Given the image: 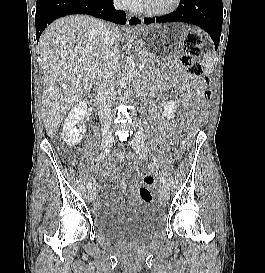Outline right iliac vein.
<instances>
[{"label":"right iliac vein","instance_id":"1","mask_svg":"<svg viewBox=\"0 0 265 273\" xmlns=\"http://www.w3.org/2000/svg\"><path fill=\"white\" fill-rule=\"evenodd\" d=\"M114 142V138L111 133H106L102 136V148L107 149L109 148ZM88 202H93L95 200V192L89 191L87 196Z\"/></svg>","mask_w":265,"mask_h":273}]
</instances>
